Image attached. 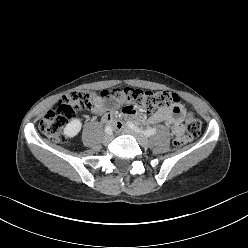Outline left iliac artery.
<instances>
[{
  "instance_id": "left-iliac-artery-1",
  "label": "left iliac artery",
  "mask_w": 248,
  "mask_h": 248,
  "mask_svg": "<svg viewBox=\"0 0 248 248\" xmlns=\"http://www.w3.org/2000/svg\"><path fill=\"white\" fill-rule=\"evenodd\" d=\"M128 127L137 131V132H141L143 133L145 136L149 137L151 135H154L156 133V129L155 128H151L149 130H145V131H142L140 128H138L137 126H135L133 123L129 122L128 124Z\"/></svg>"
}]
</instances>
